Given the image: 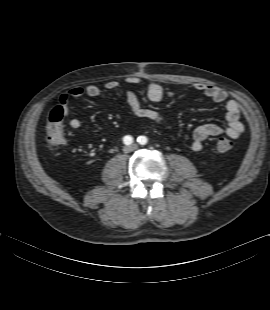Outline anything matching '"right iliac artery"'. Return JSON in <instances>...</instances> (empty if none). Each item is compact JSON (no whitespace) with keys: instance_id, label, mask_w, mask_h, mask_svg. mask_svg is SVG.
I'll list each match as a JSON object with an SVG mask.
<instances>
[{"instance_id":"obj_1","label":"right iliac artery","mask_w":270,"mask_h":310,"mask_svg":"<svg viewBox=\"0 0 270 310\" xmlns=\"http://www.w3.org/2000/svg\"><path fill=\"white\" fill-rule=\"evenodd\" d=\"M123 142L126 144V145H130L133 143V138L129 135L125 136L123 138Z\"/></svg>"}]
</instances>
